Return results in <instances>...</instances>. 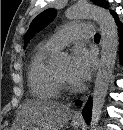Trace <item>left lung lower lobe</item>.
I'll use <instances>...</instances> for the list:
<instances>
[{
  "label": "left lung lower lobe",
  "mask_w": 123,
  "mask_h": 130,
  "mask_svg": "<svg viewBox=\"0 0 123 130\" xmlns=\"http://www.w3.org/2000/svg\"><path fill=\"white\" fill-rule=\"evenodd\" d=\"M112 15L115 18V21L118 25L119 28V36H120V58L121 61L123 62V25L122 23L119 21L117 14L114 11H111ZM81 103V101H77L76 105H79ZM91 112H92V100L89 99L88 102L86 103L84 109H83V117L85 118L87 123H90L91 120Z\"/></svg>",
  "instance_id": "left-lung-lower-lobe-1"
}]
</instances>
